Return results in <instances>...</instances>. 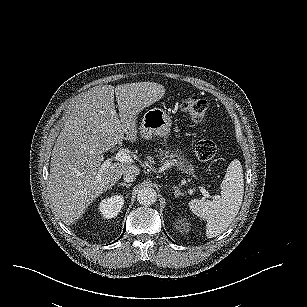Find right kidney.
<instances>
[{"mask_svg":"<svg viewBox=\"0 0 307 307\" xmlns=\"http://www.w3.org/2000/svg\"><path fill=\"white\" fill-rule=\"evenodd\" d=\"M123 205L124 197L122 195H114L102 199L98 205V210L104 219H111L118 215Z\"/></svg>","mask_w":307,"mask_h":307,"instance_id":"obj_1","label":"right kidney"}]
</instances>
